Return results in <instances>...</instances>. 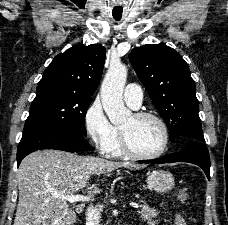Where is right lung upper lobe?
Here are the masks:
<instances>
[{"label": "right lung upper lobe", "instance_id": "1", "mask_svg": "<svg viewBox=\"0 0 228 225\" xmlns=\"http://www.w3.org/2000/svg\"><path fill=\"white\" fill-rule=\"evenodd\" d=\"M105 55L100 44H76L53 59L38 87L55 85L91 96L99 84Z\"/></svg>", "mask_w": 228, "mask_h": 225}]
</instances>
